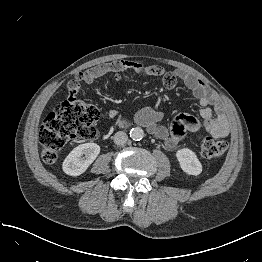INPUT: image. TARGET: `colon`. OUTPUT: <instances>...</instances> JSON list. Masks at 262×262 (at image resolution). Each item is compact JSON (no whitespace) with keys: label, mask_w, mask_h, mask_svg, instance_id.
Here are the masks:
<instances>
[{"label":"colon","mask_w":262,"mask_h":262,"mask_svg":"<svg viewBox=\"0 0 262 262\" xmlns=\"http://www.w3.org/2000/svg\"><path fill=\"white\" fill-rule=\"evenodd\" d=\"M124 69L133 70L134 66L129 65ZM90 80L88 73H80L69 81L68 96L45 116L40 125L38 135L45 163H54L69 140H93L97 136L95 124L99 110L78 97L80 85ZM199 148L203 157L217 158L227 151L228 145L224 140L206 137L200 142Z\"/></svg>","instance_id":"colon-1"}]
</instances>
